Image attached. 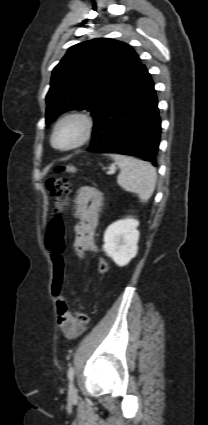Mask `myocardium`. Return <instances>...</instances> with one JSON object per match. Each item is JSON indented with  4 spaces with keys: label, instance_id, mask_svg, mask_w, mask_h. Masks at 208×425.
Segmentation results:
<instances>
[{
    "label": "myocardium",
    "instance_id": "obj_1",
    "mask_svg": "<svg viewBox=\"0 0 208 425\" xmlns=\"http://www.w3.org/2000/svg\"><path fill=\"white\" fill-rule=\"evenodd\" d=\"M68 124L78 125V134L69 144L58 145L56 142L57 135L62 127ZM94 132L95 122L89 114L79 111L70 112L58 119L53 127L50 142L51 145L58 150L70 151L87 144L92 139Z\"/></svg>",
    "mask_w": 208,
    "mask_h": 425
}]
</instances>
